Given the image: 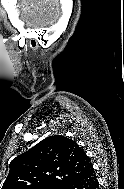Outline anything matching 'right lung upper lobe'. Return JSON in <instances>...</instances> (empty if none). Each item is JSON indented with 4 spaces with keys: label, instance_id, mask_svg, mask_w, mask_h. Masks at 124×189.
<instances>
[{
    "label": "right lung upper lobe",
    "instance_id": "right-lung-upper-lobe-1",
    "mask_svg": "<svg viewBox=\"0 0 124 189\" xmlns=\"http://www.w3.org/2000/svg\"><path fill=\"white\" fill-rule=\"evenodd\" d=\"M90 165V159L75 141L62 135L50 136L11 161L2 189L65 186Z\"/></svg>",
    "mask_w": 124,
    "mask_h": 189
}]
</instances>
